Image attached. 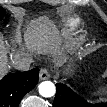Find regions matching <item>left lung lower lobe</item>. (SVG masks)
<instances>
[{
	"instance_id": "left-lung-lower-lobe-1",
	"label": "left lung lower lobe",
	"mask_w": 107,
	"mask_h": 107,
	"mask_svg": "<svg viewBox=\"0 0 107 107\" xmlns=\"http://www.w3.org/2000/svg\"><path fill=\"white\" fill-rule=\"evenodd\" d=\"M57 92L53 107H107V103L91 104L63 84H56Z\"/></svg>"
}]
</instances>
